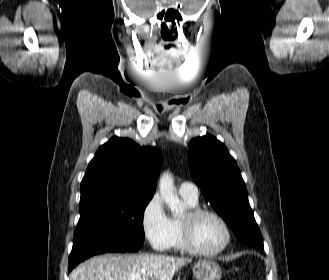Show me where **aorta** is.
<instances>
[{
    "mask_svg": "<svg viewBox=\"0 0 329 280\" xmlns=\"http://www.w3.org/2000/svg\"><path fill=\"white\" fill-rule=\"evenodd\" d=\"M159 192L172 213H183L184 205L176 193L174 180L169 172L163 173V175L160 177Z\"/></svg>",
    "mask_w": 329,
    "mask_h": 280,
    "instance_id": "aorta-1",
    "label": "aorta"
}]
</instances>
